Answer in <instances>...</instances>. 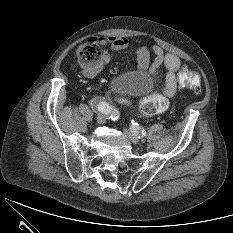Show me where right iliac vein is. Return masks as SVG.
I'll list each match as a JSON object with an SVG mask.
<instances>
[{"instance_id":"obj_1","label":"right iliac vein","mask_w":233,"mask_h":233,"mask_svg":"<svg viewBox=\"0 0 233 233\" xmlns=\"http://www.w3.org/2000/svg\"><path fill=\"white\" fill-rule=\"evenodd\" d=\"M106 116L104 114L99 113L97 116V123L102 124L105 122Z\"/></svg>"}]
</instances>
